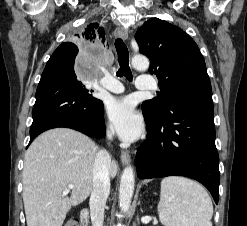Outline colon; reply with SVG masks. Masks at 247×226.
<instances>
[{
  "mask_svg": "<svg viewBox=\"0 0 247 226\" xmlns=\"http://www.w3.org/2000/svg\"><path fill=\"white\" fill-rule=\"evenodd\" d=\"M64 226H81V222L77 217L69 218Z\"/></svg>",
  "mask_w": 247,
  "mask_h": 226,
  "instance_id": "1",
  "label": "colon"
}]
</instances>
